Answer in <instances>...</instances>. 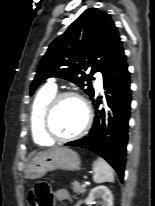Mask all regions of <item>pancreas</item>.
<instances>
[{"mask_svg": "<svg viewBox=\"0 0 155 206\" xmlns=\"http://www.w3.org/2000/svg\"><path fill=\"white\" fill-rule=\"evenodd\" d=\"M72 189L77 194H82L86 192V189L80 186L78 181L72 182Z\"/></svg>", "mask_w": 155, "mask_h": 206, "instance_id": "1", "label": "pancreas"}]
</instances>
